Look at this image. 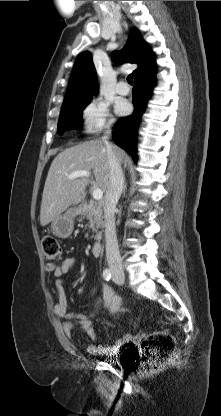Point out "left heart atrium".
<instances>
[{
	"label": "left heart atrium",
	"mask_w": 221,
	"mask_h": 416,
	"mask_svg": "<svg viewBox=\"0 0 221 416\" xmlns=\"http://www.w3.org/2000/svg\"><path fill=\"white\" fill-rule=\"evenodd\" d=\"M117 110L121 115H126L130 112V106L129 104L123 102L119 104V106L117 107Z\"/></svg>",
	"instance_id": "obj_1"
}]
</instances>
